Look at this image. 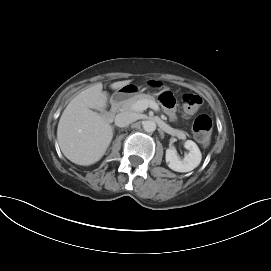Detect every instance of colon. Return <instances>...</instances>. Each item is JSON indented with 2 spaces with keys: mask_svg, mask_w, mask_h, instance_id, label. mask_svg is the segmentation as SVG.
<instances>
[{
  "mask_svg": "<svg viewBox=\"0 0 271 271\" xmlns=\"http://www.w3.org/2000/svg\"><path fill=\"white\" fill-rule=\"evenodd\" d=\"M152 86H158L157 82H151ZM161 102L166 107L174 104L173 96L170 92L165 91L161 95ZM202 98L195 94H185L181 100L182 111L184 115L194 114L201 106ZM193 132L196 140L203 146L210 142L212 133V120L208 115H199L193 122Z\"/></svg>",
  "mask_w": 271,
  "mask_h": 271,
  "instance_id": "colon-1",
  "label": "colon"
}]
</instances>
